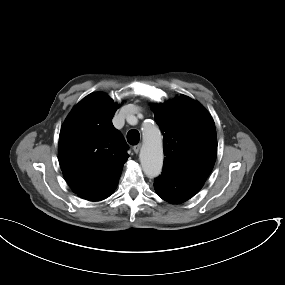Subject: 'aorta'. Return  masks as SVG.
<instances>
[{"label": "aorta", "instance_id": "obj_1", "mask_svg": "<svg viewBox=\"0 0 285 285\" xmlns=\"http://www.w3.org/2000/svg\"><path fill=\"white\" fill-rule=\"evenodd\" d=\"M140 162L144 173L154 178L161 174L163 166V146L160 130L152 123L143 126V146Z\"/></svg>", "mask_w": 285, "mask_h": 285}]
</instances>
